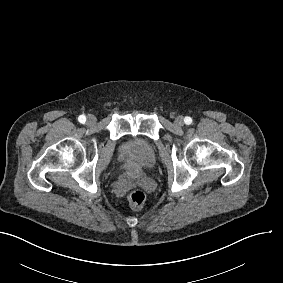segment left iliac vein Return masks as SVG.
<instances>
[{
  "mask_svg": "<svg viewBox=\"0 0 283 283\" xmlns=\"http://www.w3.org/2000/svg\"><path fill=\"white\" fill-rule=\"evenodd\" d=\"M175 126L181 127L184 124V118L182 116H178L174 121Z\"/></svg>",
  "mask_w": 283,
  "mask_h": 283,
  "instance_id": "left-iliac-vein-1",
  "label": "left iliac vein"
}]
</instances>
